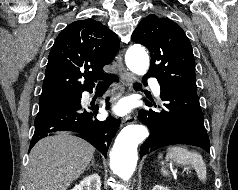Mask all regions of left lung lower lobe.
<instances>
[{
	"mask_svg": "<svg viewBox=\"0 0 238 190\" xmlns=\"http://www.w3.org/2000/svg\"><path fill=\"white\" fill-rule=\"evenodd\" d=\"M161 105L146 102L157 110H140L139 120L148 126L150 135L141 145L140 155L159 148L188 144L210 152L209 137L204 127L199 98L194 91L160 86Z\"/></svg>",
	"mask_w": 238,
	"mask_h": 190,
	"instance_id": "1",
	"label": "left lung lower lobe"
}]
</instances>
